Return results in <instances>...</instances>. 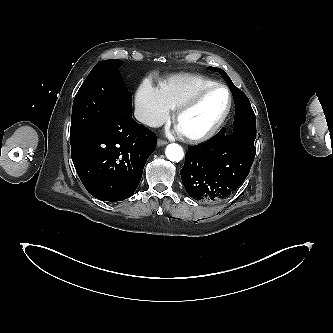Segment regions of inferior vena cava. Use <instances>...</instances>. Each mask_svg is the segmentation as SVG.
Listing matches in <instances>:
<instances>
[{
	"label": "inferior vena cava",
	"mask_w": 333,
	"mask_h": 333,
	"mask_svg": "<svg viewBox=\"0 0 333 333\" xmlns=\"http://www.w3.org/2000/svg\"><path fill=\"white\" fill-rule=\"evenodd\" d=\"M134 115L138 121L150 127H159L163 124V121L157 119L151 113L144 109H135Z\"/></svg>",
	"instance_id": "602c4592"
}]
</instances>
